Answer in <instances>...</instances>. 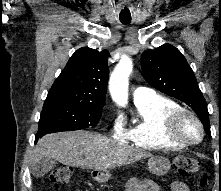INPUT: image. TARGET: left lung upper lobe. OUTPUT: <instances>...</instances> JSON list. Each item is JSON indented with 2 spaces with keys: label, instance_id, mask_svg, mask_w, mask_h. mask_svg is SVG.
I'll return each mask as SVG.
<instances>
[{
  "label": "left lung upper lobe",
  "instance_id": "left-lung-upper-lobe-1",
  "mask_svg": "<svg viewBox=\"0 0 221 191\" xmlns=\"http://www.w3.org/2000/svg\"><path fill=\"white\" fill-rule=\"evenodd\" d=\"M141 67L142 76L152 87L189 105L211 136L207 103L190 65L177 48L164 44L145 51Z\"/></svg>",
  "mask_w": 221,
  "mask_h": 191
}]
</instances>
